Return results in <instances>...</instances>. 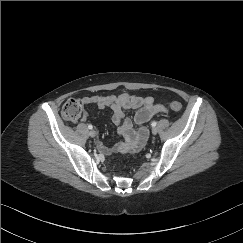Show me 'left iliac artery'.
<instances>
[{"label": "left iliac artery", "mask_w": 243, "mask_h": 243, "mask_svg": "<svg viewBox=\"0 0 243 243\" xmlns=\"http://www.w3.org/2000/svg\"><path fill=\"white\" fill-rule=\"evenodd\" d=\"M156 124H157V122H156V121H153V122L151 123V126H152V127H155Z\"/></svg>", "instance_id": "44dca946"}]
</instances>
